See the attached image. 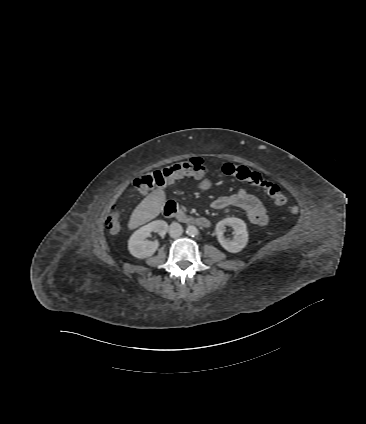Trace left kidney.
Listing matches in <instances>:
<instances>
[{
	"label": "left kidney",
	"instance_id": "1",
	"mask_svg": "<svg viewBox=\"0 0 366 424\" xmlns=\"http://www.w3.org/2000/svg\"><path fill=\"white\" fill-rule=\"evenodd\" d=\"M226 226L234 229V239L228 240L223 236ZM217 238L221 246L228 252L237 253L241 251L248 242V232L245 222L239 218L230 217L219 221L215 228Z\"/></svg>",
	"mask_w": 366,
	"mask_h": 424
}]
</instances>
